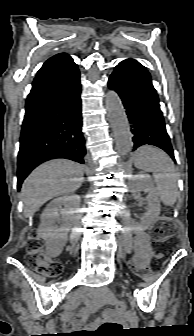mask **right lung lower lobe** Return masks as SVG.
<instances>
[{"label": "right lung lower lobe", "mask_w": 194, "mask_h": 336, "mask_svg": "<svg viewBox=\"0 0 194 336\" xmlns=\"http://www.w3.org/2000/svg\"><path fill=\"white\" fill-rule=\"evenodd\" d=\"M80 87L74 62L35 77L21 130L18 190L28 174L48 159L61 157L84 163Z\"/></svg>", "instance_id": "98d812e1"}]
</instances>
